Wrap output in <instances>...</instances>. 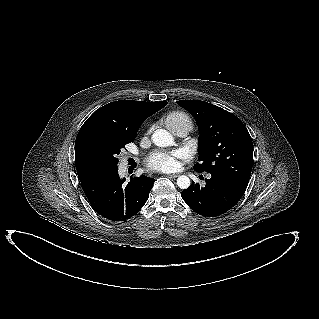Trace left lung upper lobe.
I'll return each mask as SVG.
<instances>
[{"label":"left lung upper lobe","instance_id":"5c2ea615","mask_svg":"<svg viewBox=\"0 0 319 319\" xmlns=\"http://www.w3.org/2000/svg\"><path fill=\"white\" fill-rule=\"evenodd\" d=\"M177 103L189 111L199 127L197 172L222 174L249 183L253 166V146L244 124L232 113L199 100Z\"/></svg>","mask_w":319,"mask_h":319}]
</instances>
